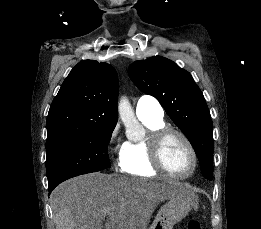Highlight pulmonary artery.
I'll list each match as a JSON object with an SVG mask.
<instances>
[{"label": "pulmonary artery", "mask_w": 261, "mask_h": 229, "mask_svg": "<svg viewBox=\"0 0 261 229\" xmlns=\"http://www.w3.org/2000/svg\"><path fill=\"white\" fill-rule=\"evenodd\" d=\"M136 112L139 118L161 119L164 117L162 105L154 97L142 95L136 105Z\"/></svg>", "instance_id": "obj_1"}]
</instances>
